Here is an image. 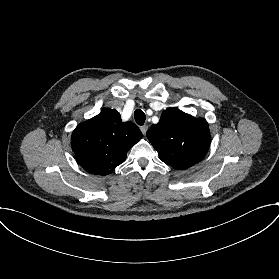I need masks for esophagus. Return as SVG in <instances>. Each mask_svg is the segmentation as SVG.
I'll use <instances>...</instances> for the list:
<instances>
[{"label":"esophagus","mask_w":279,"mask_h":279,"mask_svg":"<svg viewBox=\"0 0 279 279\" xmlns=\"http://www.w3.org/2000/svg\"><path fill=\"white\" fill-rule=\"evenodd\" d=\"M140 130H141V132H142V134L143 135H145L146 134V132H147V130H148V125H142L141 127H140Z\"/></svg>","instance_id":"34e87169"}]
</instances>
